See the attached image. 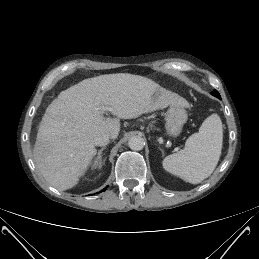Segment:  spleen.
Returning <instances> with one entry per match:
<instances>
[{
	"label": "spleen",
	"mask_w": 259,
	"mask_h": 259,
	"mask_svg": "<svg viewBox=\"0 0 259 259\" xmlns=\"http://www.w3.org/2000/svg\"><path fill=\"white\" fill-rule=\"evenodd\" d=\"M222 142L221 119L217 114H212L204 120L199 132L187 139L183 149L164 158L163 168L186 182L198 184L216 168Z\"/></svg>",
	"instance_id": "1"
}]
</instances>
